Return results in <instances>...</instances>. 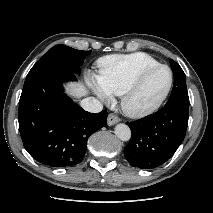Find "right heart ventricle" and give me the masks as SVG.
<instances>
[{
  "instance_id": "right-heart-ventricle-1",
  "label": "right heart ventricle",
  "mask_w": 213,
  "mask_h": 213,
  "mask_svg": "<svg viewBox=\"0 0 213 213\" xmlns=\"http://www.w3.org/2000/svg\"><path fill=\"white\" fill-rule=\"evenodd\" d=\"M99 80L110 95H122L126 88L144 70L159 62L145 53L111 55L99 60Z\"/></svg>"
}]
</instances>
